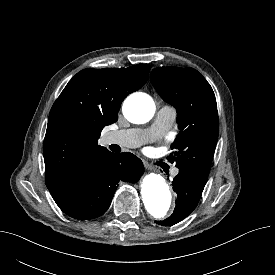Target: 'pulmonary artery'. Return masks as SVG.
I'll return each instance as SVG.
<instances>
[{
    "label": "pulmonary artery",
    "instance_id": "1",
    "mask_svg": "<svg viewBox=\"0 0 275 275\" xmlns=\"http://www.w3.org/2000/svg\"><path fill=\"white\" fill-rule=\"evenodd\" d=\"M176 117V110L169 105H163L157 112L155 120L148 129H126L108 133L106 143L117 144L121 147L135 148L156 140L163 136L172 126ZM179 173L178 168H173L172 175Z\"/></svg>",
    "mask_w": 275,
    "mask_h": 275
}]
</instances>
